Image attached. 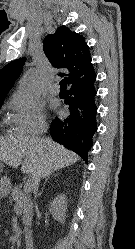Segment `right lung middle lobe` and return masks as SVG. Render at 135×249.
I'll list each match as a JSON object with an SVG mask.
<instances>
[{
	"mask_svg": "<svg viewBox=\"0 0 135 249\" xmlns=\"http://www.w3.org/2000/svg\"><path fill=\"white\" fill-rule=\"evenodd\" d=\"M2 104H3V101L0 102V107H1Z\"/></svg>",
	"mask_w": 135,
	"mask_h": 249,
	"instance_id": "1",
	"label": "right lung middle lobe"
}]
</instances>
